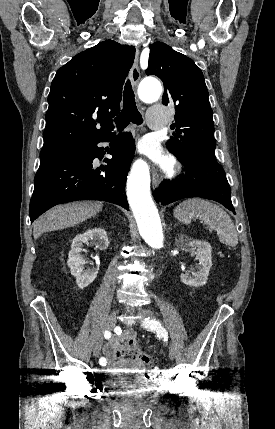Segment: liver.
Returning a JSON list of instances; mask_svg holds the SVG:
<instances>
[{
    "label": "liver",
    "mask_w": 275,
    "mask_h": 429,
    "mask_svg": "<svg viewBox=\"0 0 275 429\" xmlns=\"http://www.w3.org/2000/svg\"><path fill=\"white\" fill-rule=\"evenodd\" d=\"M102 207L101 202H74L55 206L34 222V238H39L44 232L79 224L100 212Z\"/></svg>",
    "instance_id": "obj_1"
}]
</instances>
